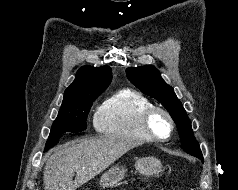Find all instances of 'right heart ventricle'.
Here are the masks:
<instances>
[{
  "instance_id": "right-heart-ventricle-1",
  "label": "right heart ventricle",
  "mask_w": 238,
  "mask_h": 190,
  "mask_svg": "<svg viewBox=\"0 0 238 190\" xmlns=\"http://www.w3.org/2000/svg\"><path fill=\"white\" fill-rule=\"evenodd\" d=\"M151 106V101L137 91L118 90L97 108L94 126L97 132L106 136L151 141L140 122L142 113Z\"/></svg>"
}]
</instances>
